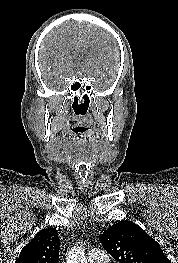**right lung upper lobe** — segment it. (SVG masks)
<instances>
[{"instance_id":"obj_1","label":"right lung upper lobe","mask_w":178,"mask_h":263,"mask_svg":"<svg viewBox=\"0 0 178 263\" xmlns=\"http://www.w3.org/2000/svg\"><path fill=\"white\" fill-rule=\"evenodd\" d=\"M59 244L56 228L42 229L23 247L16 263H58Z\"/></svg>"}]
</instances>
